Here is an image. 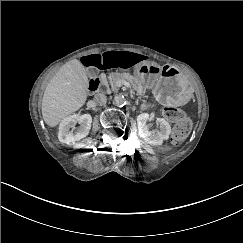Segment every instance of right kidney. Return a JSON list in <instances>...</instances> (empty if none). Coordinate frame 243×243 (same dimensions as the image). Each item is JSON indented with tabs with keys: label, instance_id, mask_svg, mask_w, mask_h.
Here are the masks:
<instances>
[{
	"label": "right kidney",
	"instance_id": "right-kidney-1",
	"mask_svg": "<svg viewBox=\"0 0 243 243\" xmlns=\"http://www.w3.org/2000/svg\"><path fill=\"white\" fill-rule=\"evenodd\" d=\"M77 123L80 126L76 128ZM91 123L92 117L90 114H75L64 119L59 128V141L67 145H74L89 134Z\"/></svg>",
	"mask_w": 243,
	"mask_h": 243
}]
</instances>
